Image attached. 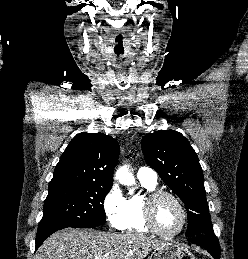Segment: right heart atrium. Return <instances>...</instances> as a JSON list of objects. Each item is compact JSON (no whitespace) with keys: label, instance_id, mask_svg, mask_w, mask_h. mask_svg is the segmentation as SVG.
Instances as JSON below:
<instances>
[{"label":"right heart atrium","instance_id":"obj_1","mask_svg":"<svg viewBox=\"0 0 248 259\" xmlns=\"http://www.w3.org/2000/svg\"><path fill=\"white\" fill-rule=\"evenodd\" d=\"M127 199L120 187L114 183L104 197L103 208L111 227L122 229Z\"/></svg>","mask_w":248,"mask_h":259}]
</instances>
